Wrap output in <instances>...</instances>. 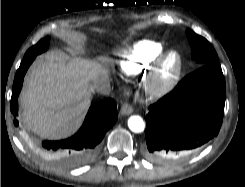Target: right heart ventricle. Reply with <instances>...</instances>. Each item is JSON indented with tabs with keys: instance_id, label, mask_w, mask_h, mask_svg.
<instances>
[{
	"instance_id": "e07e8e85",
	"label": "right heart ventricle",
	"mask_w": 245,
	"mask_h": 187,
	"mask_svg": "<svg viewBox=\"0 0 245 187\" xmlns=\"http://www.w3.org/2000/svg\"><path fill=\"white\" fill-rule=\"evenodd\" d=\"M163 52V45L153 40H142L124 53L119 61L121 71L128 76L148 72Z\"/></svg>"
}]
</instances>
